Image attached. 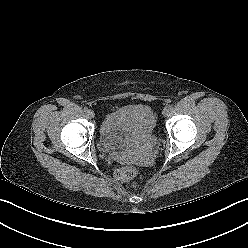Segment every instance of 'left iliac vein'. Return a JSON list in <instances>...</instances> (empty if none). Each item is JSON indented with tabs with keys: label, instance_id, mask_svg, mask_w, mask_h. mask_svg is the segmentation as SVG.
Returning <instances> with one entry per match:
<instances>
[{
	"label": "left iliac vein",
	"instance_id": "1",
	"mask_svg": "<svg viewBox=\"0 0 248 248\" xmlns=\"http://www.w3.org/2000/svg\"><path fill=\"white\" fill-rule=\"evenodd\" d=\"M170 111H171V108L169 106H166L164 109H163V115L164 116H168L170 114Z\"/></svg>",
	"mask_w": 248,
	"mask_h": 248
}]
</instances>
